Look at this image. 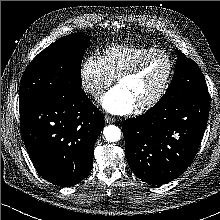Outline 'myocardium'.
Returning a JSON list of instances; mask_svg holds the SVG:
<instances>
[{"label": "myocardium", "instance_id": "myocardium-1", "mask_svg": "<svg viewBox=\"0 0 220 220\" xmlns=\"http://www.w3.org/2000/svg\"><path fill=\"white\" fill-rule=\"evenodd\" d=\"M154 55H162L167 59V62H168L167 75L164 79L163 84L161 85V87L157 91V93L148 101L143 102V103L139 104L138 106H136L137 110H139V111H146V110H149V109L155 107L157 104L160 103V101L165 96V94L171 84L173 75H174L175 66H174V61H173L171 55L164 50L153 49L151 51L144 53L140 57H138L134 62H132V64L128 68H126L124 71H122L116 77V82L119 83L122 79L135 76L138 73V71L141 69L143 63L149 57H152Z\"/></svg>", "mask_w": 220, "mask_h": 220}]
</instances>
